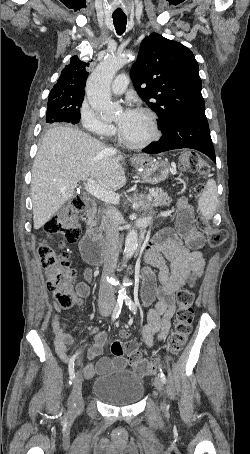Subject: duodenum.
Returning a JSON list of instances; mask_svg holds the SVG:
<instances>
[{"label":"duodenum","mask_w":250,"mask_h":454,"mask_svg":"<svg viewBox=\"0 0 250 454\" xmlns=\"http://www.w3.org/2000/svg\"><path fill=\"white\" fill-rule=\"evenodd\" d=\"M87 201H84L86 204ZM86 216L89 220L85 234L81 240V255L84 261L91 265H101L103 263V245L100 238L95 234L91 225V219L95 215L94 205L89 202L86 209Z\"/></svg>","instance_id":"duodenum-1"}]
</instances>
